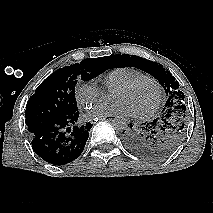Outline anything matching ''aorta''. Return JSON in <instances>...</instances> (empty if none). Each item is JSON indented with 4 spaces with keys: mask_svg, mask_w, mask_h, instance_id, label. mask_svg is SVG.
<instances>
[{
    "mask_svg": "<svg viewBox=\"0 0 213 213\" xmlns=\"http://www.w3.org/2000/svg\"><path fill=\"white\" fill-rule=\"evenodd\" d=\"M112 126L116 132H122L127 130L128 123L123 117H116L112 121Z\"/></svg>",
    "mask_w": 213,
    "mask_h": 213,
    "instance_id": "1",
    "label": "aorta"
}]
</instances>
